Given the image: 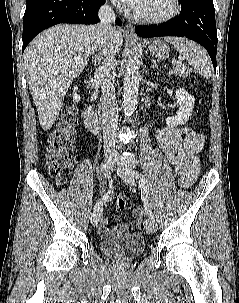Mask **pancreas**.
Returning a JSON list of instances; mask_svg holds the SVG:
<instances>
[{"instance_id": "obj_1", "label": "pancreas", "mask_w": 239, "mask_h": 303, "mask_svg": "<svg viewBox=\"0 0 239 303\" xmlns=\"http://www.w3.org/2000/svg\"><path fill=\"white\" fill-rule=\"evenodd\" d=\"M190 72H191V69L182 63H179V65L177 67H174L171 70V73L173 75H175L176 77H182V78H186Z\"/></svg>"}]
</instances>
